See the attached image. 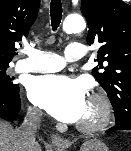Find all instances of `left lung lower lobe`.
<instances>
[{
	"label": "left lung lower lobe",
	"instance_id": "0a47b994",
	"mask_svg": "<svg viewBox=\"0 0 131 151\" xmlns=\"http://www.w3.org/2000/svg\"><path fill=\"white\" fill-rule=\"evenodd\" d=\"M116 130H131V117L116 121L115 126L107 130L106 133H111Z\"/></svg>",
	"mask_w": 131,
	"mask_h": 151
}]
</instances>
